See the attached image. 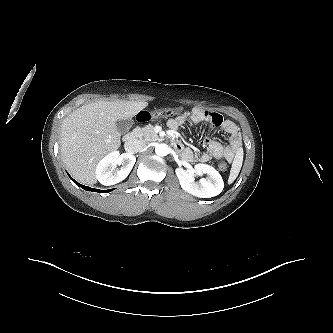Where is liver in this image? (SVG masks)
<instances>
[{
    "instance_id": "6515ba94",
    "label": "liver",
    "mask_w": 333,
    "mask_h": 333,
    "mask_svg": "<svg viewBox=\"0 0 333 333\" xmlns=\"http://www.w3.org/2000/svg\"><path fill=\"white\" fill-rule=\"evenodd\" d=\"M147 106L144 101L99 100L78 108L63 120L61 158L77 181L96 183L98 163L121 145L115 122L132 118Z\"/></svg>"
}]
</instances>
